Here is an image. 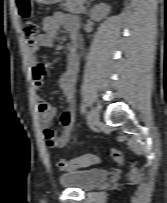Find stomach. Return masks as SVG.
<instances>
[{"mask_svg": "<svg viewBox=\"0 0 167 203\" xmlns=\"http://www.w3.org/2000/svg\"><path fill=\"white\" fill-rule=\"evenodd\" d=\"M38 3H42V4H47V5H51V4H56L58 2H61V0H35Z\"/></svg>", "mask_w": 167, "mask_h": 203, "instance_id": "obj_1", "label": "stomach"}]
</instances>
